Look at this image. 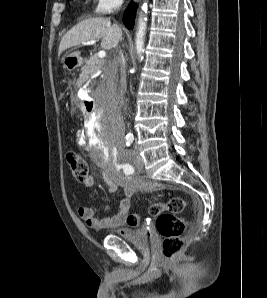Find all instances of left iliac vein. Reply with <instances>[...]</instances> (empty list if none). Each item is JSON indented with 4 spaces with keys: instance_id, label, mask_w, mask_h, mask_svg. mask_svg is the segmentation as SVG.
<instances>
[{
    "instance_id": "obj_1",
    "label": "left iliac vein",
    "mask_w": 267,
    "mask_h": 298,
    "mask_svg": "<svg viewBox=\"0 0 267 298\" xmlns=\"http://www.w3.org/2000/svg\"><path fill=\"white\" fill-rule=\"evenodd\" d=\"M135 153V159L138 163H142L143 160H142V157L138 154L137 151L134 152Z\"/></svg>"
}]
</instances>
